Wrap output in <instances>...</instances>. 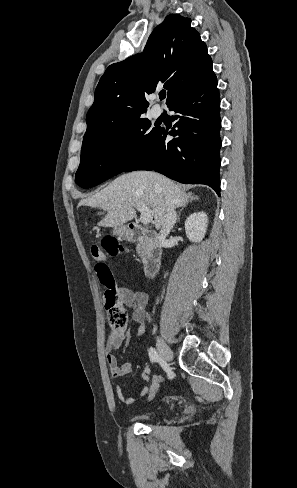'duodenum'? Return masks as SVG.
<instances>
[{
  "label": "duodenum",
  "mask_w": 297,
  "mask_h": 488,
  "mask_svg": "<svg viewBox=\"0 0 297 488\" xmlns=\"http://www.w3.org/2000/svg\"><path fill=\"white\" fill-rule=\"evenodd\" d=\"M124 239L131 242H139L145 250L144 273L147 277H153L159 270L162 262V250L157 242V234L140 225L129 224L122 230Z\"/></svg>",
  "instance_id": "1"
}]
</instances>
